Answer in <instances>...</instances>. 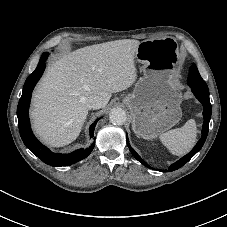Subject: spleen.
<instances>
[{
    "mask_svg": "<svg viewBox=\"0 0 227 227\" xmlns=\"http://www.w3.org/2000/svg\"><path fill=\"white\" fill-rule=\"evenodd\" d=\"M197 127L194 119L188 120L181 128L172 129L159 136L169 151L178 156L188 153L196 143Z\"/></svg>",
    "mask_w": 227,
    "mask_h": 227,
    "instance_id": "spleen-1",
    "label": "spleen"
}]
</instances>
